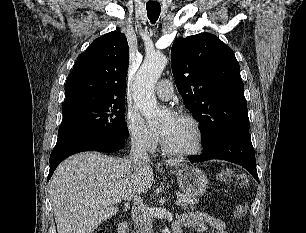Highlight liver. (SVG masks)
Wrapping results in <instances>:
<instances>
[{
  "mask_svg": "<svg viewBox=\"0 0 306 233\" xmlns=\"http://www.w3.org/2000/svg\"><path fill=\"white\" fill-rule=\"evenodd\" d=\"M168 160L166 166H180ZM154 181L149 164L96 152L76 154L64 160L49 182L50 200L58 233H92L103 221L116 215V203L134 200L148 192Z\"/></svg>",
  "mask_w": 306,
  "mask_h": 233,
  "instance_id": "obj_1",
  "label": "liver"
}]
</instances>
